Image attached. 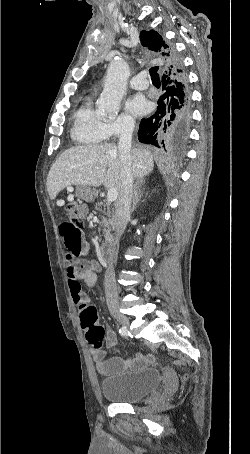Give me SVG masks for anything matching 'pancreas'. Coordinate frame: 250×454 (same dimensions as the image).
I'll return each mask as SVG.
<instances>
[{"mask_svg":"<svg viewBox=\"0 0 250 454\" xmlns=\"http://www.w3.org/2000/svg\"><path fill=\"white\" fill-rule=\"evenodd\" d=\"M95 209L103 214L101 224L103 225V233L105 242H111L113 236L111 232L114 230V219L111 216L110 202H98Z\"/></svg>","mask_w":250,"mask_h":454,"instance_id":"pancreas-1","label":"pancreas"}]
</instances>
